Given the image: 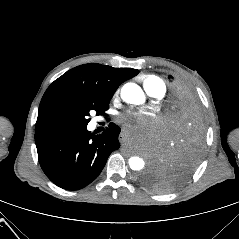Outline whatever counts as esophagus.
I'll return each mask as SVG.
<instances>
[{"label":"esophagus","instance_id":"esophagus-1","mask_svg":"<svg viewBox=\"0 0 239 239\" xmlns=\"http://www.w3.org/2000/svg\"><path fill=\"white\" fill-rule=\"evenodd\" d=\"M118 138H119L120 140H124V139H125V135H124L123 133H119V134H118Z\"/></svg>","mask_w":239,"mask_h":239}]
</instances>
